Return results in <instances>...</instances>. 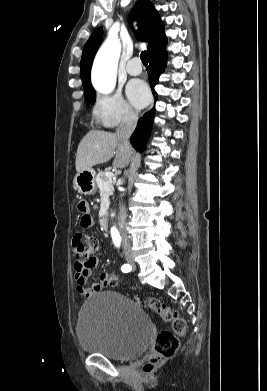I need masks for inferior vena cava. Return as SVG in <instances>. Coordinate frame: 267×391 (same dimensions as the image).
Here are the masks:
<instances>
[{
	"label": "inferior vena cava",
	"mask_w": 267,
	"mask_h": 391,
	"mask_svg": "<svg viewBox=\"0 0 267 391\" xmlns=\"http://www.w3.org/2000/svg\"><path fill=\"white\" fill-rule=\"evenodd\" d=\"M138 121V115L134 111H128L122 122L119 124V126L116 129V136L119 139L122 147L126 151H130V143L129 138L134 132L136 125ZM119 229L120 234L122 237V246L125 253L130 252L131 250V243L129 240V237L127 235V232L125 230V224H126V209L124 205L120 206V216H119Z\"/></svg>",
	"instance_id": "inferior-vena-cava-1"
}]
</instances>
